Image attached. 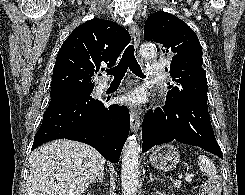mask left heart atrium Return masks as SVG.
Returning <instances> with one entry per match:
<instances>
[{
	"mask_svg": "<svg viewBox=\"0 0 245 195\" xmlns=\"http://www.w3.org/2000/svg\"><path fill=\"white\" fill-rule=\"evenodd\" d=\"M146 101V94L142 89H133L123 97V102L133 106H139Z\"/></svg>",
	"mask_w": 245,
	"mask_h": 195,
	"instance_id": "left-heart-atrium-1",
	"label": "left heart atrium"
}]
</instances>
